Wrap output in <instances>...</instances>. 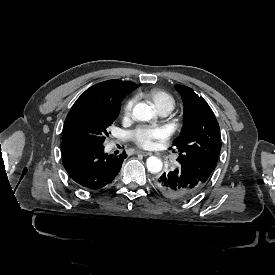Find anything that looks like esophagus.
Here are the masks:
<instances>
[{
  "label": "esophagus",
  "mask_w": 275,
  "mask_h": 275,
  "mask_svg": "<svg viewBox=\"0 0 275 275\" xmlns=\"http://www.w3.org/2000/svg\"><path fill=\"white\" fill-rule=\"evenodd\" d=\"M136 153H137V154H141V155H143V156H148V155H151V153H150V152L141 151V150L137 151Z\"/></svg>",
  "instance_id": "1"
}]
</instances>
